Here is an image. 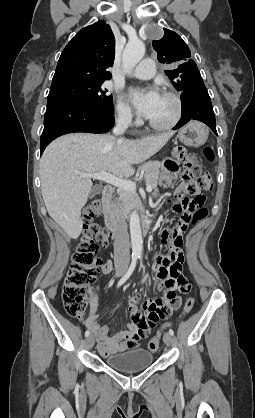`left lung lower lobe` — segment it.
<instances>
[{
  "instance_id": "1",
  "label": "left lung lower lobe",
  "mask_w": 255,
  "mask_h": 418,
  "mask_svg": "<svg viewBox=\"0 0 255 418\" xmlns=\"http://www.w3.org/2000/svg\"><path fill=\"white\" fill-rule=\"evenodd\" d=\"M182 118L173 129H178L188 121L199 120L208 125L217 135L215 114L204 83L198 84L181 94Z\"/></svg>"
}]
</instances>
